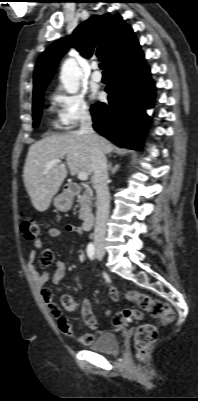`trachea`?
Masks as SVG:
<instances>
[{
    "label": "trachea",
    "instance_id": "1",
    "mask_svg": "<svg viewBox=\"0 0 198 401\" xmlns=\"http://www.w3.org/2000/svg\"><path fill=\"white\" fill-rule=\"evenodd\" d=\"M99 67L101 70H104V64H100Z\"/></svg>",
    "mask_w": 198,
    "mask_h": 401
}]
</instances>
